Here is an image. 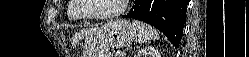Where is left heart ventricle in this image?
Returning a JSON list of instances; mask_svg holds the SVG:
<instances>
[{
  "instance_id": "obj_1",
  "label": "left heart ventricle",
  "mask_w": 249,
  "mask_h": 57,
  "mask_svg": "<svg viewBox=\"0 0 249 57\" xmlns=\"http://www.w3.org/2000/svg\"><path fill=\"white\" fill-rule=\"evenodd\" d=\"M84 11L87 14H105L116 11L122 4V0H85Z\"/></svg>"
}]
</instances>
